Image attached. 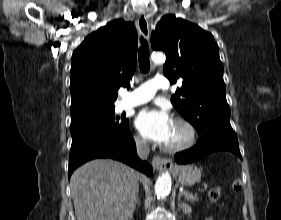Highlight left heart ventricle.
<instances>
[{"label":"left heart ventricle","instance_id":"left-heart-ventricle-1","mask_svg":"<svg viewBox=\"0 0 281 220\" xmlns=\"http://www.w3.org/2000/svg\"><path fill=\"white\" fill-rule=\"evenodd\" d=\"M186 137H187L186 129L183 126L174 122L169 138L165 142V145L167 146L178 145L183 141H185Z\"/></svg>","mask_w":281,"mask_h":220}]
</instances>
